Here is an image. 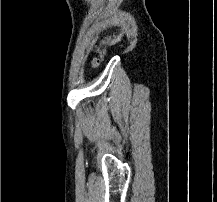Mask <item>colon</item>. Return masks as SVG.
<instances>
[{"instance_id":"obj_1","label":"colon","mask_w":217,"mask_h":202,"mask_svg":"<svg viewBox=\"0 0 217 202\" xmlns=\"http://www.w3.org/2000/svg\"><path fill=\"white\" fill-rule=\"evenodd\" d=\"M120 39V35L114 34L113 36H106L100 39L95 45V51L98 54V57L95 58L91 63V68L94 69L100 65L103 61L107 47Z\"/></svg>"}]
</instances>
